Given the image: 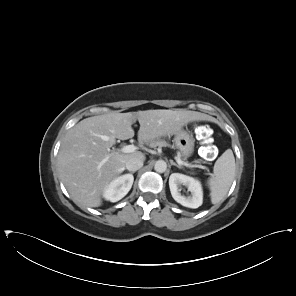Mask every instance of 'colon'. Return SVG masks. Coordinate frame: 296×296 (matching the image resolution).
Returning <instances> with one entry per match:
<instances>
[{
    "label": "colon",
    "instance_id": "1",
    "mask_svg": "<svg viewBox=\"0 0 296 296\" xmlns=\"http://www.w3.org/2000/svg\"><path fill=\"white\" fill-rule=\"evenodd\" d=\"M197 138L201 141L202 147L200 155L202 158L210 160L216 156V148L213 145V139L209 129L203 124H197L194 127Z\"/></svg>",
    "mask_w": 296,
    "mask_h": 296
}]
</instances>
